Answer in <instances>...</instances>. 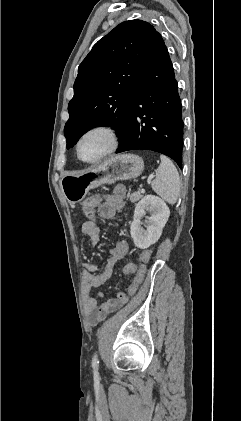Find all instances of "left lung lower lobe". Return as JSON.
<instances>
[{
	"label": "left lung lower lobe",
	"instance_id": "obj_1",
	"mask_svg": "<svg viewBox=\"0 0 241 421\" xmlns=\"http://www.w3.org/2000/svg\"><path fill=\"white\" fill-rule=\"evenodd\" d=\"M183 126L174 69L159 35L137 83L129 123L116 153L152 150L182 168Z\"/></svg>",
	"mask_w": 241,
	"mask_h": 421
}]
</instances>
